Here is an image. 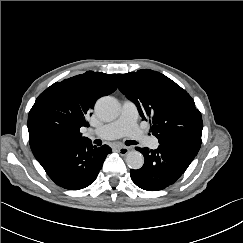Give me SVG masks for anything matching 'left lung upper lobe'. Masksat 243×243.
<instances>
[{"mask_svg":"<svg viewBox=\"0 0 243 243\" xmlns=\"http://www.w3.org/2000/svg\"><path fill=\"white\" fill-rule=\"evenodd\" d=\"M119 90L149 120L159 143L180 138L201 139L202 117L190 95L165 75L142 69L122 74Z\"/></svg>","mask_w":243,"mask_h":243,"instance_id":"1","label":"left lung upper lobe"}]
</instances>
